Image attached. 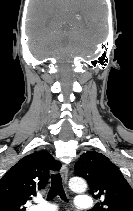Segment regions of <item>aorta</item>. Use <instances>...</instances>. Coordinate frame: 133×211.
<instances>
[{
    "label": "aorta",
    "instance_id": "762f6f07",
    "mask_svg": "<svg viewBox=\"0 0 133 211\" xmlns=\"http://www.w3.org/2000/svg\"><path fill=\"white\" fill-rule=\"evenodd\" d=\"M69 187L74 192L83 193L87 189V183L81 177H73L69 180Z\"/></svg>",
    "mask_w": 133,
    "mask_h": 211
}]
</instances>
